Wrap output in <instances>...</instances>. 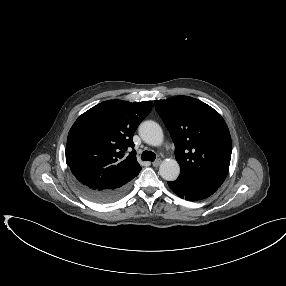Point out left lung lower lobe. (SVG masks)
I'll return each mask as SVG.
<instances>
[{
    "label": "left lung lower lobe",
    "mask_w": 286,
    "mask_h": 286,
    "mask_svg": "<svg viewBox=\"0 0 286 286\" xmlns=\"http://www.w3.org/2000/svg\"><path fill=\"white\" fill-rule=\"evenodd\" d=\"M168 185L180 198L188 201L205 199L219 188L212 184L192 179L186 175H179L176 181L168 182Z\"/></svg>",
    "instance_id": "left-lung-lower-lobe-1"
}]
</instances>
